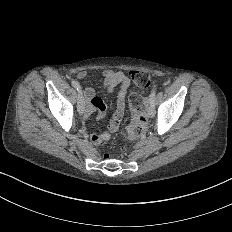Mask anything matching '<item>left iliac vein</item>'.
I'll list each match as a JSON object with an SVG mask.
<instances>
[{
    "label": "left iliac vein",
    "instance_id": "left-iliac-vein-1",
    "mask_svg": "<svg viewBox=\"0 0 232 232\" xmlns=\"http://www.w3.org/2000/svg\"><path fill=\"white\" fill-rule=\"evenodd\" d=\"M147 115H148L149 117H154V116H155V111H154L153 109H148V110H147Z\"/></svg>",
    "mask_w": 232,
    "mask_h": 232
}]
</instances>
